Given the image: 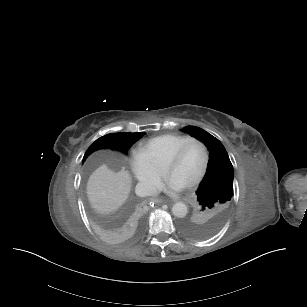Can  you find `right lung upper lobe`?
<instances>
[{"instance_id": "right-lung-upper-lobe-1", "label": "right lung upper lobe", "mask_w": 307, "mask_h": 307, "mask_svg": "<svg viewBox=\"0 0 307 307\" xmlns=\"http://www.w3.org/2000/svg\"><path fill=\"white\" fill-rule=\"evenodd\" d=\"M143 218V211L140 208H134L124 213L114 220L116 224H134L138 223Z\"/></svg>"}]
</instances>
